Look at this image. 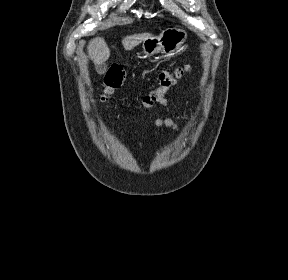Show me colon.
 Instances as JSON below:
<instances>
[{"instance_id":"1","label":"colon","mask_w":288,"mask_h":280,"mask_svg":"<svg viewBox=\"0 0 288 280\" xmlns=\"http://www.w3.org/2000/svg\"><path fill=\"white\" fill-rule=\"evenodd\" d=\"M186 68H175L172 70H163L159 74V86L143 97L141 105L145 108H152L165 103V96L169 89L175 84L176 80L183 75ZM124 81V72L119 66H113L109 69L104 79V91L102 100H105L112 94Z\"/></svg>"}]
</instances>
